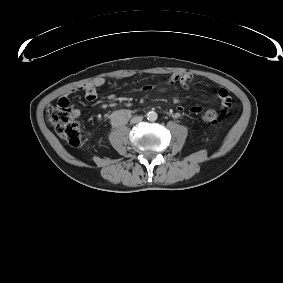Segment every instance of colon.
Here are the masks:
<instances>
[{
    "label": "colon",
    "mask_w": 283,
    "mask_h": 283,
    "mask_svg": "<svg viewBox=\"0 0 283 283\" xmlns=\"http://www.w3.org/2000/svg\"><path fill=\"white\" fill-rule=\"evenodd\" d=\"M72 111L73 108L69 99L62 97L56 105L49 107L47 117L59 137L71 146H78L82 139L81 128ZM224 116L225 110L216 109H207L203 114L204 120L212 124L222 122Z\"/></svg>",
    "instance_id": "1"
}]
</instances>
